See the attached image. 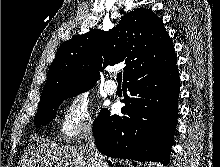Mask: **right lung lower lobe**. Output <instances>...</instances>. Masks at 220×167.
<instances>
[{
	"label": "right lung lower lobe",
	"mask_w": 220,
	"mask_h": 167,
	"mask_svg": "<svg viewBox=\"0 0 220 167\" xmlns=\"http://www.w3.org/2000/svg\"><path fill=\"white\" fill-rule=\"evenodd\" d=\"M122 115L101 109L93 124L96 146L103 154L121 159L170 161L178 118L179 74L176 61L138 73L123 82Z\"/></svg>",
	"instance_id": "1"
}]
</instances>
